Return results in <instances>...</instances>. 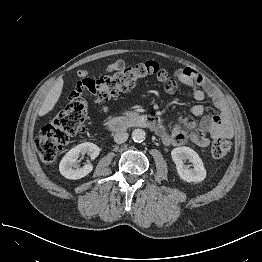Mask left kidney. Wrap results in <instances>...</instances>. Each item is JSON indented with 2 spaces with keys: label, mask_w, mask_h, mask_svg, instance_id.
<instances>
[{
  "label": "left kidney",
  "mask_w": 262,
  "mask_h": 262,
  "mask_svg": "<svg viewBox=\"0 0 262 262\" xmlns=\"http://www.w3.org/2000/svg\"><path fill=\"white\" fill-rule=\"evenodd\" d=\"M171 156L176 164L179 177L188 182L199 183L206 177V169L199 155L189 147H178L171 151ZM189 160L192 168L184 165V161Z\"/></svg>",
  "instance_id": "obj_1"
}]
</instances>
